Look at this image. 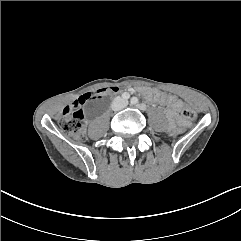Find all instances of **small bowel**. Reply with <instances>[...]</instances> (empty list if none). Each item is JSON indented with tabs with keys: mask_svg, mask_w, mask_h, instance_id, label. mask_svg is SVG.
I'll list each match as a JSON object with an SVG mask.
<instances>
[{
	"mask_svg": "<svg viewBox=\"0 0 241 241\" xmlns=\"http://www.w3.org/2000/svg\"><path fill=\"white\" fill-rule=\"evenodd\" d=\"M118 91H119V88L115 92H118ZM145 94L149 99L157 100L158 102L166 105L168 107L167 116L170 119L176 120V122L179 125L184 124L182 120L176 119L177 114L180 112V110L183 107V102L179 98L173 95H167L164 93L152 92V91H145Z\"/></svg>",
	"mask_w": 241,
	"mask_h": 241,
	"instance_id": "c3829d8e",
	"label": "small bowel"
}]
</instances>
